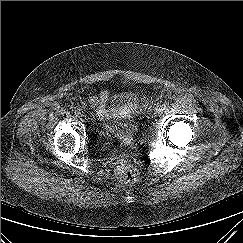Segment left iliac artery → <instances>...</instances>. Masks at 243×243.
Segmentation results:
<instances>
[{"mask_svg": "<svg viewBox=\"0 0 243 243\" xmlns=\"http://www.w3.org/2000/svg\"><path fill=\"white\" fill-rule=\"evenodd\" d=\"M167 106H168V103H164V104H162L161 109L165 110L167 108Z\"/></svg>", "mask_w": 243, "mask_h": 243, "instance_id": "1", "label": "left iliac artery"}]
</instances>
